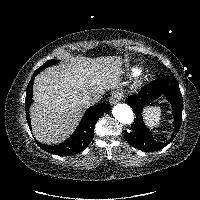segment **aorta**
<instances>
[{
  "label": "aorta",
  "mask_w": 200,
  "mask_h": 200,
  "mask_svg": "<svg viewBox=\"0 0 200 200\" xmlns=\"http://www.w3.org/2000/svg\"><path fill=\"white\" fill-rule=\"evenodd\" d=\"M112 114L116 120L122 124H131L134 120V114L129 105L124 103L116 104L112 109Z\"/></svg>",
  "instance_id": "762f6f07"
}]
</instances>
